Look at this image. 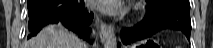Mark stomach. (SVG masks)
Instances as JSON below:
<instances>
[{
  "label": "stomach",
  "mask_w": 213,
  "mask_h": 48,
  "mask_svg": "<svg viewBox=\"0 0 213 48\" xmlns=\"http://www.w3.org/2000/svg\"><path fill=\"white\" fill-rule=\"evenodd\" d=\"M147 42L148 41L145 40V41H142V42H140V43H138V44H136V45H134L132 47H128V48H136V47H140V46H145Z\"/></svg>",
  "instance_id": "obj_1"
}]
</instances>
